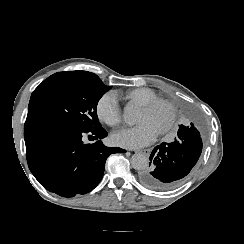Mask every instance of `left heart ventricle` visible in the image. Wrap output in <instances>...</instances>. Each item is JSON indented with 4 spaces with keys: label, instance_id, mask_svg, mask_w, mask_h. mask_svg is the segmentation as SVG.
<instances>
[{
    "label": "left heart ventricle",
    "instance_id": "b2bd125f",
    "mask_svg": "<svg viewBox=\"0 0 244 244\" xmlns=\"http://www.w3.org/2000/svg\"><path fill=\"white\" fill-rule=\"evenodd\" d=\"M170 117L165 107L160 105L154 110L145 111L139 106L136 110V123L148 124L158 134H161L169 125Z\"/></svg>",
    "mask_w": 244,
    "mask_h": 244
}]
</instances>
